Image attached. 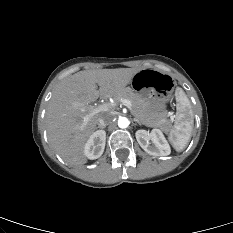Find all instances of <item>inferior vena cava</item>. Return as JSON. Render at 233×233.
I'll use <instances>...</instances> for the list:
<instances>
[{"label": "inferior vena cava", "instance_id": "inferior-vena-cava-1", "mask_svg": "<svg viewBox=\"0 0 233 233\" xmlns=\"http://www.w3.org/2000/svg\"><path fill=\"white\" fill-rule=\"evenodd\" d=\"M112 120H113V115L111 113H105L100 118H98L97 123L99 126L104 127L110 124Z\"/></svg>", "mask_w": 233, "mask_h": 233}]
</instances>
